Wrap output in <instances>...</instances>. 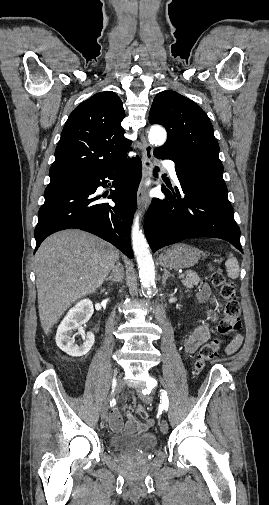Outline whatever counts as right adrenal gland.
Masks as SVG:
<instances>
[{"label":"right adrenal gland","instance_id":"right-adrenal-gland-1","mask_svg":"<svg viewBox=\"0 0 269 505\" xmlns=\"http://www.w3.org/2000/svg\"><path fill=\"white\" fill-rule=\"evenodd\" d=\"M124 277V270L119 261L116 262V266L113 268L112 273L106 278V281H112L114 283L122 282Z\"/></svg>","mask_w":269,"mask_h":505}]
</instances>
